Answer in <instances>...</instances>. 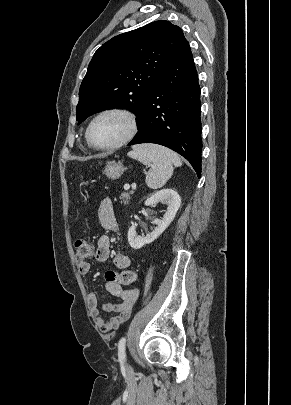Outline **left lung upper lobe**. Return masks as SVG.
<instances>
[{
	"label": "left lung upper lobe",
	"mask_w": 291,
	"mask_h": 405,
	"mask_svg": "<svg viewBox=\"0 0 291 405\" xmlns=\"http://www.w3.org/2000/svg\"><path fill=\"white\" fill-rule=\"evenodd\" d=\"M185 42L180 27L155 21L104 43L80 86L78 123L101 110L127 108L139 126L151 87Z\"/></svg>",
	"instance_id": "left-lung-upper-lobe-1"
}]
</instances>
